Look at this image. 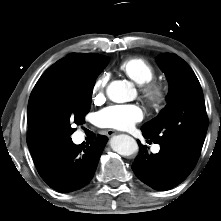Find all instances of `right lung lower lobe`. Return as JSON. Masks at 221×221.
Segmentation results:
<instances>
[{"mask_svg": "<svg viewBox=\"0 0 221 221\" xmlns=\"http://www.w3.org/2000/svg\"><path fill=\"white\" fill-rule=\"evenodd\" d=\"M108 138L98 135L91 144L68 143L47 148L32 157L38 173L53 189L71 192L84 187L92 179Z\"/></svg>", "mask_w": 221, "mask_h": 221, "instance_id": "1", "label": "right lung lower lobe"}]
</instances>
